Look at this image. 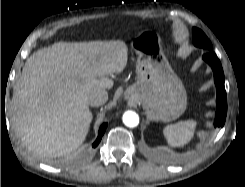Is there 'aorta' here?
I'll return each mask as SVG.
<instances>
[{"mask_svg":"<svg viewBox=\"0 0 245 187\" xmlns=\"http://www.w3.org/2000/svg\"><path fill=\"white\" fill-rule=\"evenodd\" d=\"M123 123L128 127H136L139 124L138 114L133 111H126L123 114Z\"/></svg>","mask_w":245,"mask_h":187,"instance_id":"1","label":"aorta"}]
</instances>
